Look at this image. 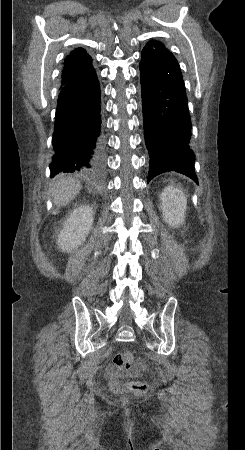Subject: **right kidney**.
<instances>
[{
  "label": "right kidney",
  "mask_w": 245,
  "mask_h": 450,
  "mask_svg": "<svg viewBox=\"0 0 245 450\" xmlns=\"http://www.w3.org/2000/svg\"><path fill=\"white\" fill-rule=\"evenodd\" d=\"M93 209L89 205L74 209L63 224L57 244L64 252H71L85 240L93 225Z\"/></svg>",
  "instance_id": "ca27d5eb"
}]
</instances>
